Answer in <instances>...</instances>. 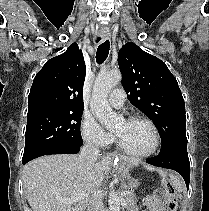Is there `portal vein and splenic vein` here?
I'll list each match as a JSON object with an SVG mask.
<instances>
[{"label":"portal vein and splenic vein","mask_w":209,"mask_h":211,"mask_svg":"<svg viewBox=\"0 0 209 211\" xmlns=\"http://www.w3.org/2000/svg\"><path fill=\"white\" fill-rule=\"evenodd\" d=\"M122 196H125L126 195V192L123 191L121 193ZM86 197V194L85 193H81V194H76L70 198H67V199H62V198H58V201L62 202V203H66V204H74L82 199H84Z\"/></svg>","instance_id":"obj_1"}]
</instances>
